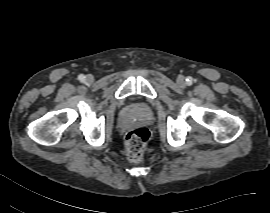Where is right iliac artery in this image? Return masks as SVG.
<instances>
[{"label": "right iliac artery", "mask_w": 270, "mask_h": 213, "mask_svg": "<svg viewBox=\"0 0 270 213\" xmlns=\"http://www.w3.org/2000/svg\"><path fill=\"white\" fill-rule=\"evenodd\" d=\"M78 79H79L80 81H84L85 76L81 74V75L78 76Z\"/></svg>", "instance_id": "1"}]
</instances>
